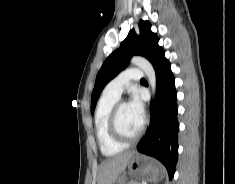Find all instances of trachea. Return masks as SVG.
Wrapping results in <instances>:
<instances>
[{
  "label": "trachea",
  "instance_id": "trachea-1",
  "mask_svg": "<svg viewBox=\"0 0 235 184\" xmlns=\"http://www.w3.org/2000/svg\"><path fill=\"white\" fill-rule=\"evenodd\" d=\"M141 81H145V79H141Z\"/></svg>",
  "mask_w": 235,
  "mask_h": 184
}]
</instances>
